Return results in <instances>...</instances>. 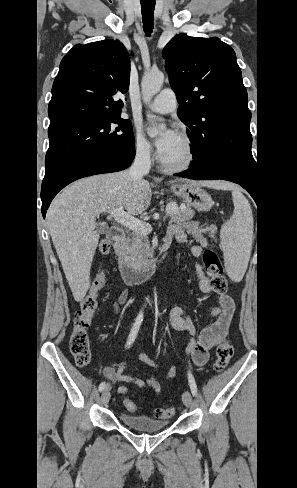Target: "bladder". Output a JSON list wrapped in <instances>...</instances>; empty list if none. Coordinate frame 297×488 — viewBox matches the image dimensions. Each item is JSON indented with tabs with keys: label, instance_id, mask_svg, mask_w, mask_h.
Returning <instances> with one entry per match:
<instances>
[{
	"label": "bladder",
	"instance_id": "bladder-1",
	"mask_svg": "<svg viewBox=\"0 0 297 488\" xmlns=\"http://www.w3.org/2000/svg\"><path fill=\"white\" fill-rule=\"evenodd\" d=\"M120 419L126 427L139 432H157L166 428L168 424L165 420L129 413H122Z\"/></svg>",
	"mask_w": 297,
	"mask_h": 488
}]
</instances>
